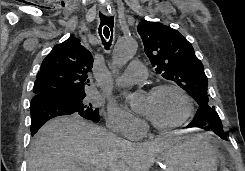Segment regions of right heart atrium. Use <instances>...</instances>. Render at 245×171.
Returning <instances> with one entry per match:
<instances>
[{
  "instance_id": "obj_1",
  "label": "right heart atrium",
  "mask_w": 245,
  "mask_h": 171,
  "mask_svg": "<svg viewBox=\"0 0 245 171\" xmlns=\"http://www.w3.org/2000/svg\"><path fill=\"white\" fill-rule=\"evenodd\" d=\"M107 125L113 131L128 138H136L143 130L144 123L125 109L112 105L108 110Z\"/></svg>"
}]
</instances>
